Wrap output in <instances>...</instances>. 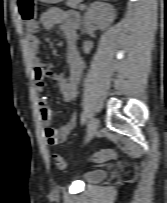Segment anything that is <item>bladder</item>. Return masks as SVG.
<instances>
[{
    "mask_svg": "<svg viewBox=\"0 0 167 203\" xmlns=\"http://www.w3.org/2000/svg\"><path fill=\"white\" fill-rule=\"evenodd\" d=\"M107 178V171L103 169H89L80 175V179L86 184L97 183Z\"/></svg>",
    "mask_w": 167,
    "mask_h": 203,
    "instance_id": "31cf9c89",
    "label": "bladder"
}]
</instances>
